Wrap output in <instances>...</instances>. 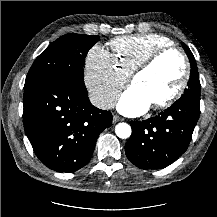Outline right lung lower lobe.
<instances>
[{
  "mask_svg": "<svg viewBox=\"0 0 217 217\" xmlns=\"http://www.w3.org/2000/svg\"><path fill=\"white\" fill-rule=\"evenodd\" d=\"M85 86L61 76L24 86L25 133L39 160L57 172H75L90 160L112 114L94 107Z\"/></svg>",
  "mask_w": 217,
  "mask_h": 217,
  "instance_id": "1",
  "label": "right lung lower lobe"
}]
</instances>
